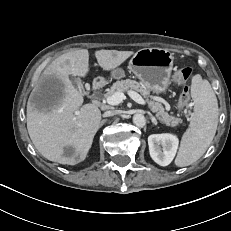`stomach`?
<instances>
[{
  "instance_id": "stomach-1",
  "label": "stomach",
  "mask_w": 231,
  "mask_h": 231,
  "mask_svg": "<svg viewBox=\"0 0 231 231\" xmlns=\"http://www.w3.org/2000/svg\"><path fill=\"white\" fill-rule=\"evenodd\" d=\"M173 61L174 56L169 50L144 48L137 51L131 58L129 69L150 91L165 93L170 85ZM122 76V70H113V78L119 79Z\"/></svg>"
}]
</instances>
